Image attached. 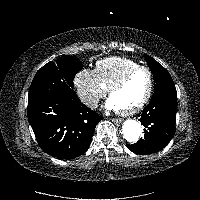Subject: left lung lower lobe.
Masks as SVG:
<instances>
[{
    "mask_svg": "<svg viewBox=\"0 0 200 200\" xmlns=\"http://www.w3.org/2000/svg\"><path fill=\"white\" fill-rule=\"evenodd\" d=\"M177 92L159 90L154 93L139 120L144 125L145 135L135 144L127 145L136 154H151L163 149L176 131Z\"/></svg>",
    "mask_w": 200,
    "mask_h": 200,
    "instance_id": "obj_1",
    "label": "left lung lower lobe"
}]
</instances>
